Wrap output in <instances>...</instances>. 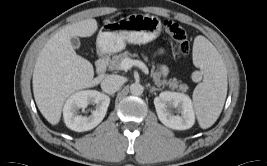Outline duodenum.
<instances>
[{
    "mask_svg": "<svg viewBox=\"0 0 267 166\" xmlns=\"http://www.w3.org/2000/svg\"><path fill=\"white\" fill-rule=\"evenodd\" d=\"M110 63V55L106 52H101L96 64V71L99 75L105 74Z\"/></svg>",
    "mask_w": 267,
    "mask_h": 166,
    "instance_id": "obj_1",
    "label": "duodenum"
}]
</instances>
